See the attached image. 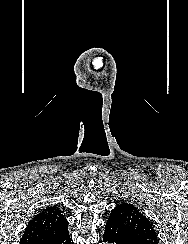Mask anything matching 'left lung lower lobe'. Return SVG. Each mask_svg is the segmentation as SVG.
<instances>
[{"label": "left lung lower lobe", "mask_w": 188, "mask_h": 244, "mask_svg": "<svg viewBox=\"0 0 188 244\" xmlns=\"http://www.w3.org/2000/svg\"><path fill=\"white\" fill-rule=\"evenodd\" d=\"M103 240L111 244H147L136 237L115 212L109 216Z\"/></svg>", "instance_id": "obj_1"}]
</instances>
